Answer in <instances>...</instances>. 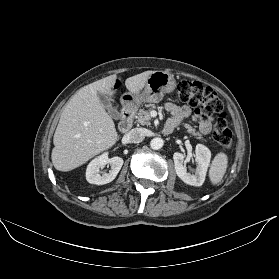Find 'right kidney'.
<instances>
[{
  "instance_id": "obj_1",
  "label": "right kidney",
  "mask_w": 279,
  "mask_h": 279,
  "mask_svg": "<svg viewBox=\"0 0 279 279\" xmlns=\"http://www.w3.org/2000/svg\"><path fill=\"white\" fill-rule=\"evenodd\" d=\"M123 159L121 157L108 158V153H103L99 157L93 159L86 169V180L90 184L104 185L113 181L119 173ZM106 165H110L109 173L100 171Z\"/></svg>"
}]
</instances>
